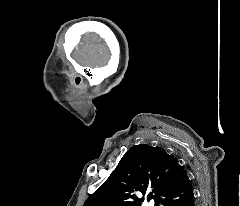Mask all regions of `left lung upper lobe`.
I'll return each instance as SVG.
<instances>
[{
  "mask_svg": "<svg viewBox=\"0 0 240 206\" xmlns=\"http://www.w3.org/2000/svg\"><path fill=\"white\" fill-rule=\"evenodd\" d=\"M178 165L162 149L134 145L83 206H141L144 198L138 199L137 191L146 195L148 201L155 199V206H159L175 179Z\"/></svg>",
  "mask_w": 240,
  "mask_h": 206,
  "instance_id": "left-lung-upper-lobe-1",
  "label": "left lung upper lobe"
}]
</instances>
